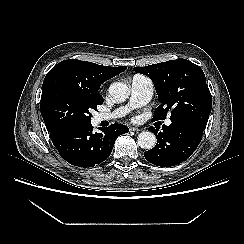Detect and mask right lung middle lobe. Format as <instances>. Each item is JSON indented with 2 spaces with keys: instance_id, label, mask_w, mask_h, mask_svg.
I'll list each match as a JSON object with an SVG mask.
<instances>
[{
  "instance_id": "right-lung-middle-lobe-1",
  "label": "right lung middle lobe",
  "mask_w": 244,
  "mask_h": 244,
  "mask_svg": "<svg viewBox=\"0 0 244 244\" xmlns=\"http://www.w3.org/2000/svg\"><path fill=\"white\" fill-rule=\"evenodd\" d=\"M102 103L54 80L43 87L40 108L48 132H53L73 125L90 124V111Z\"/></svg>"
}]
</instances>
